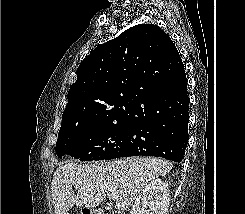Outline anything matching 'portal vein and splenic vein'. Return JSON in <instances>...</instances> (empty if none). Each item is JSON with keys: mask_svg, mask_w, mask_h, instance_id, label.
Wrapping results in <instances>:
<instances>
[{"mask_svg": "<svg viewBox=\"0 0 245 214\" xmlns=\"http://www.w3.org/2000/svg\"><path fill=\"white\" fill-rule=\"evenodd\" d=\"M110 198L113 199V200H116L118 198V196L116 194H114Z\"/></svg>", "mask_w": 245, "mask_h": 214, "instance_id": "obj_1", "label": "portal vein and splenic vein"}]
</instances>
